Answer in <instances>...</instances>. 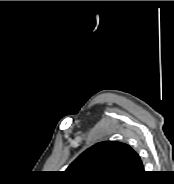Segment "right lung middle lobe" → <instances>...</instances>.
<instances>
[{
	"mask_svg": "<svg viewBox=\"0 0 174 184\" xmlns=\"http://www.w3.org/2000/svg\"><path fill=\"white\" fill-rule=\"evenodd\" d=\"M87 183L109 184V183H105V182H87Z\"/></svg>",
	"mask_w": 174,
	"mask_h": 184,
	"instance_id": "1",
	"label": "right lung middle lobe"
}]
</instances>
